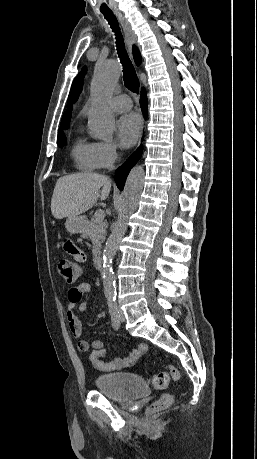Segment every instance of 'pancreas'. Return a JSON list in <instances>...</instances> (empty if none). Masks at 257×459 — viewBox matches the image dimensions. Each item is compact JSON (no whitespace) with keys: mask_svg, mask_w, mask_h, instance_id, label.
<instances>
[{"mask_svg":"<svg viewBox=\"0 0 257 459\" xmlns=\"http://www.w3.org/2000/svg\"><path fill=\"white\" fill-rule=\"evenodd\" d=\"M107 227H108L107 222L98 221L93 216V218H91V221L86 224L82 232L83 237L90 238L92 245H93L92 253L94 256H97L100 252L102 243L105 240V234H106Z\"/></svg>","mask_w":257,"mask_h":459,"instance_id":"pancreas-1","label":"pancreas"}]
</instances>
